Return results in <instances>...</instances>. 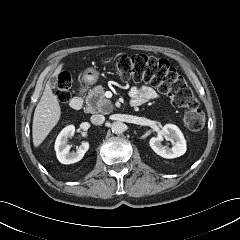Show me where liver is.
Wrapping results in <instances>:
<instances>
[{"label": "liver", "instance_id": "1", "mask_svg": "<svg viewBox=\"0 0 240 240\" xmlns=\"http://www.w3.org/2000/svg\"><path fill=\"white\" fill-rule=\"evenodd\" d=\"M63 64H59L52 77L58 76ZM61 116V109L57 97L52 93L47 83L44 92L37 104L33 117L32 137L33 144L38 147L56 126Z\"/></svg>", "mask_w": 240, "mask_h": 240}]
</instances>
